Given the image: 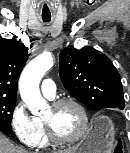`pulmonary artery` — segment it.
Returning <instances> with one entry per match:
<instances>
[{"instance_id": "e3ab8cb5", "label": "pulmonary artery", "mask_w": 130, "mask_h": 153, "mask_svg": "<svg viewBox=\"0 0 130 153\" xmlns=\"http://www.w3.org/2000/svg\"><path fill=\"white\" fill-rule=\"evenodd\" d=\"M41 92L44 96H46L49 99L54 98L56 94L55 82L50 78L44 79L41 83Z\"/></svg>"}]
</instances>
